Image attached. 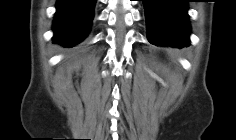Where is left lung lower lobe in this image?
<instances>
[{"mask_svg":"<svg viewBox=\"0 0 236 140\" xmlns=\"http://www.w3.org/2000/svg\"><path fill=\"white\" fill-rule=\"evenodd\" d=\"M188 2L189 0H143L147 38L151 44L188 47Z\"/></svg>","mask_w":236,"mask_h":140,"instance_id":"obj_1","label":"left lung lower lobe"}]
</instances>
